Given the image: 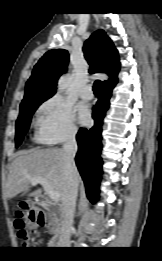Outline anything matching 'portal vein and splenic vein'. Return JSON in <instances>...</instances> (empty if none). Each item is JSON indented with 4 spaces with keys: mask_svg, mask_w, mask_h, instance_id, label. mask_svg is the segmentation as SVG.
<instances>
[{
    "mask_svg": "<svg viewBox=\"0 0 162 261\" xmlns=\"http://www.w3.org/2000/svg\"><path fill=\"white\" fill-rule=\"evenodd\" d=\"M30 183L32 185L41 184L52 201L59 200V193L52 188L51 184L47 181V179L42 177H33L30 178Z\"/></svg>",
    "mask_w": 162,
    "mask_h": 261,
    "instance_id": "portal-vein-and-splenic-vein-1",
    "label": "portal vein and splenic vein"
}]
</instances>
